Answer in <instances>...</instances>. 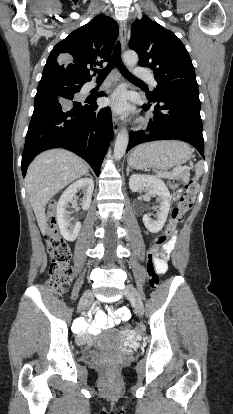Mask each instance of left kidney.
I'll list each match as a JSON object with an SVG mask.
<instances>
[{"label": "left kidney", "mask_w": 233, "mask_h": 414, "mask_svg": "<svg viewBox=\"0 0 233 414\" xmlns=\"http://www.w3.org/2000/svg\"><path fill=\"white\" fill-rule=\"evenodd\" d=\"M144 187L148 189L150 195L157 196L159 211L156 214V220H152L150 214L143 215V223L150 232L157 233L163 228L168 217L171 202L170 193L165 183L158 177L133 174L129 178V188L132 192H137Z\"/></svg>", "instance_id": "obj_1"}]
</instances>
